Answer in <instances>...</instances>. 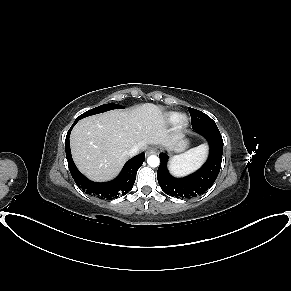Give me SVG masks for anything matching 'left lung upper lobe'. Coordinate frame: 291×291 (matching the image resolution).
<instances>
[{"label": "left lung upper lobe", "mask_w": 291, "mask_h": 291, "mask_svg": "<svg viewBox=\"0 0 291 291\" xmlns=\"http://www.w3.org/2000/svg\"><path fill=\"white\" fill-rule=\"evenodd\" d=\"M189 110V113L191 115V123H194V124H200V123H203L204 124V119L202 117V115H205L207 116L206 114H204L203 112L199 111V110H196V109H193V108H188ZM209 118V116H207ZM203 119V120H201Z\"/></svg>", "instance_id": "5c2ea615"}]
</instances>
